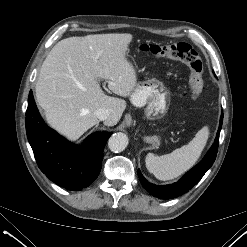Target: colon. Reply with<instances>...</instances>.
<instances>
[{"label":"colon","instance_id":"obj_1","mask_svg":"<svg viewBox=\"0 0 247 247\" xmlns=\"http://www.w3.org/2000/svg\"><path fill=\"white\" fill-rule=\"evenodd\" d=\"M140 50L155 57L184 62L190 68L189 95L196 99L203 91V63L197 51L187 43L153 44L146 43Z\"/></svg>","mask_w":247,"mask_h":247}]
</instances>
